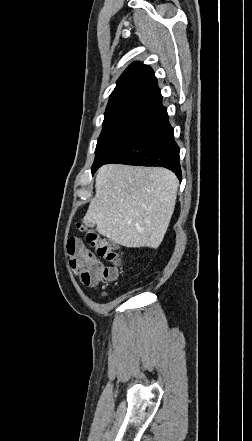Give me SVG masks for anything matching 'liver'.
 <instances>
[{
	"mask_svg": "<svg viewBox=\"0 0 252 441\" xmlns=\"http://www.w3.org/2000/svg\"><path fill=\"white\" fill-rule=\"evenodd\" d=\"M178 186L176 175L165 168L104 165L83 220L122 246L157 248L174 212Z\"/></svg>",
	"mask_w": 252,
	"mask_h": 441,
	"instance_id": "liver-1",
	"label": "liver"
}]
</instances>
